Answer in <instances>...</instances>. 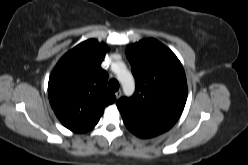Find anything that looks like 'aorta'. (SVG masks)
Listing matches in <instances>:
<instances>
[{
  "instance_id": "1",
  "label": "aorta",
  "mask_w": 248,
  "mask_h": 165,
  "mask_svg": "<svg viewBox=\"0 0 248 165\" xmlns=\"http://www.w3.org/2000/svg\"><path fill=\"white\" fill-rule=\"evenodd\" d=\"M112 66L117 73L118 80L122 84L125 95H132L135 90L133 75L127 70L125 64L122 62L114 63Z\"/></svg>"
}]
</instances>
